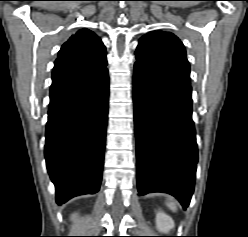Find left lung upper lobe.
<instances>
[{"instance_id": "5c2ea615", "label": "left lung upper lobe", "mask_w": 248, "mask_h": 237, "mask_svg": "<svg viewBox=\"0 0 248 237\" xmlns=\"http://www.w3.org/2000/svg\"><path fill=\"white\" fill-rule=\"evenodd\" d=\"M137 62L164 77L190 84V66L182 42L172 33L150 32L141 37L135 52Z\"/></svg>"}]
</instances>
